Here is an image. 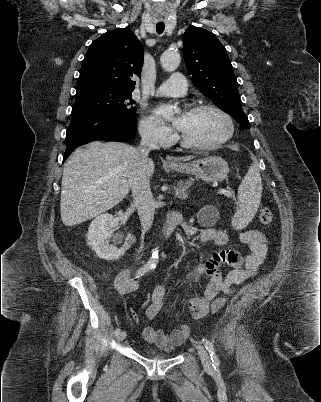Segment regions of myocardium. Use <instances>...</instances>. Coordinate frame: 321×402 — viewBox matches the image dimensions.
Instances as JSON below:
<instances>
[{"instance_id": "myocardium-1", "label": "myocardium", "mask_w": 321, "mask_h": 402, "mask_svg": "<svg viewBox=\"0 0 321 402\" xmlns=\"http://www.w3.org/2000/svg\"><path fill=\"white\" fill-rule=\"evenodd\" d=\"M214 110L217 113H219L226 121L227 123V132L226 134L221 137L220 139H218L215 142H211V143H206V144H201V143H196L193 141H190L182 132L180 133V140L181 143L184 147L186 148H190V149H196V150H212V149H216L219 148L221 146H223L224 144H226L228 141L231 140V138L234 135L235 132V125H234V121L233 118L231 117V115L225 111L223 108H221L220 106L216 105V104H212V103H202V104H197L193 107L190 108V112H197V111H201V110Z\"/></svg>"}]
</instances>
